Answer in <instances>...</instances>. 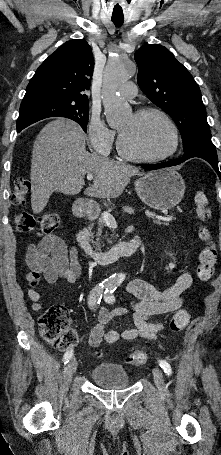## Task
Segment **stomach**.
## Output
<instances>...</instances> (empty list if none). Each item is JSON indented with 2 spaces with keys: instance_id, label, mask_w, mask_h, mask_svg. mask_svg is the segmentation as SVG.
<instances>
[{
  "instance_id": "1",
  "label": "stomach",
  "mask_w": 221,
  "mask_h": 455,
  "mask_svg": "<svg viewBox=\"0 0 221 455\" xmlns=\"http://www.w3.org/2000/svg\"><path fill=\"white\" fill-rule=\"evenodd\" d=\"M139 198L151 208L168 210L180 203L185 193L182 176L171 168L143 175L134 182Z\"/></svg>"
}]
</instances>
